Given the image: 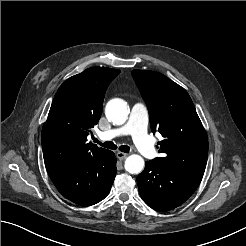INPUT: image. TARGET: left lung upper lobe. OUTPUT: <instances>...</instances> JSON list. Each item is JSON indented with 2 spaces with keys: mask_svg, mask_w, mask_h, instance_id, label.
Here are the masks:
<instances>
[{
  "mask_svg": "<svg viewBox=\"0 0 246 246\" xmlns=\"http://www.w3.org/2000/svg\"><path fill=\"white\" fill-rule=\"evenodd\" d=\"M132 76L146 101L152 131L164 137L158 142L162 157L151 162L204 173L208 139L187 91L158 72L133 70Z\"/></svg>",
  "mask_w": 246,
  "mask_h": 246,
  "instance_id": "1",
  "label": "left lung upper lobe"
}]
</instances>
